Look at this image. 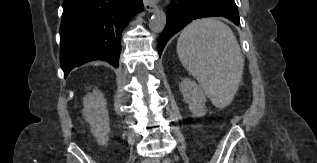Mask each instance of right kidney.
<instances>
[{"mask_svg":"<svg viewBox=\"0 0 317 163\" xmlns=\"http://www.w3.org/2000/svg\"><path fill=\"white\" fill-rule=\"evenodd\" d=\"M83 116L90 124L91 132L99 145L109 141V114L107 102L99 90H94L83 99Z\"/></svg>","mask_w":317,"mask_h":163,"instance_id":"obj_1","label":"right kidney"}]
</instances>
